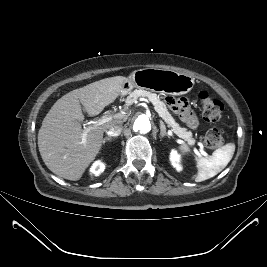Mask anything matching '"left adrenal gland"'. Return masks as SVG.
<instances>
[{
  "instance_id": "a2214340",
  "label": "left adrenal gland",
  "mask_w": 267,
  "mask_h": 267,
  "mask_svg": "<svg viewBox=\"0 0 267 267\" xmlns=\"http://www.w3.org/2000/svg\"><path fill=\"white\" fill-rule=\"evenodd\" d=\"M160 134H161L162 138L165 137V136H168V134L166 132V127H165V125H164V123L162 121H160Z\"/></svg>"
}]
</instances>
